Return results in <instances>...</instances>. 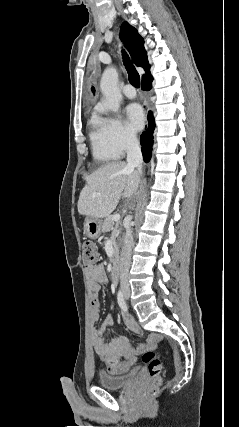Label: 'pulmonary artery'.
I'll return each mask as SVG.
<instances>
[{
  "instance_id": "obj_1",
  "label": "pulmonary artery",
  "mask_w": 239,
  "mask_h": 427,
  "mask_svg": "<svg viewBox=\"0 0 239 427\" xmlns=\"http://www.w3.org/2000/svg\"><path fill=\"white\" fill-rule=\"evenodd\" d=\"M123 93L127 98L133 99L136 96V90L130 84H127L123 88Z\"/></svg>"
}]
</instances>
